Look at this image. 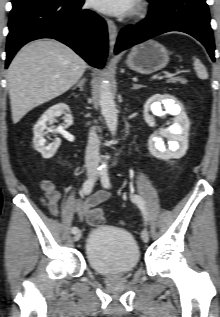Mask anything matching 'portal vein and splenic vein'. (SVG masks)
<instances>
[{"instance_id": "1", "label": "portal vein and splenic vein", "mask_w": 220, "mask_h": 317, "mask_svg": "<svg viewBox=\"0 0 220 317\" xmlns=\"http://www.w3.org/2000/svg\"><path fill=\"white\" fill-rule=\"evenodd\" d=\"M173 75L171 73H166L165 76H161L160 78H171Z\"/></svg>"}]
</instances>
